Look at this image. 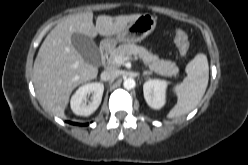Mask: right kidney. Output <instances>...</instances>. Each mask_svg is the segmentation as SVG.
<instances>
[{
  "instance_id": "obj_1",
  "label": "right kidney",
  "mask_w": 248,
  "mask_h": 165,
  "mask_svg": "<svg viewBox=\"0 0 248 165\" xmlns=\"http://www.w3.org/2000/svg\"><path fill=\"white\" fill-rule=\"evenodd\" d=\"M104 85L102 83H87L79 87L71 98V109L76 115L90 116L99 107ZM92 94L91 101H88L87 95Z\"/></svg>"
}]
</instances>
